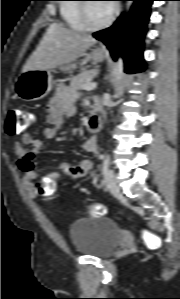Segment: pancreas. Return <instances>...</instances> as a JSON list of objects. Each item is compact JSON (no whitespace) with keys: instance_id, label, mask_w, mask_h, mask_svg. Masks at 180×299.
I'll return each mask as SVG.
<instances>
[{"instance_id":"pancreas-1","label":"pancreas","mask_w":180,"mask_h":299,"mask_svg":"<svg viewBox=\"0 0 180 299\" xmlns=\"http://www.w3.org/2000/svg\"><path fill=\"white\" fill-rule=\"evenodd\" d=\"M98 74V70H89L74 76L70 80V85L73 89L81 90L84 86L91 83V80Z\"/></svg>"}]
</instances>
